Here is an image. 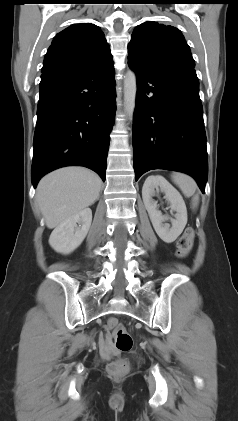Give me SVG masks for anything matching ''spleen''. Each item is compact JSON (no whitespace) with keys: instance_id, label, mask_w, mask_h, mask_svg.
I'll return each mask as SVG.
<instances>
[{"instance_id":"obj_1","label":"spleen","mask_w":238,"mask_h":421,"mask_svg":"<svg viewBox=\"0 0 238 421\" xmlns=\"http://www.w3.org/2000/svg\"><path fill=\"white\" fill-rule=\"evenodd\" d=\"M172 179L186 197L193 196V208H195L199 202V195L195 194L196 182L190 176L182 173H174Z\"/></svg>"}]
</instances>
